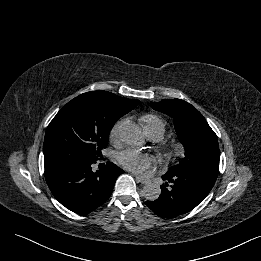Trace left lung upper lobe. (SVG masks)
Returning a JSON list of instances; mask_svg holds the SVG:
<instances>
[{"label": "left lung upper lobe", "mask_w": 261, "mask_h": 261, "mask_svg": "<svg viewBox=\"0 0 261 261\" xmlns=\"http://www.w3.org/2000/svg\"><path fill=\"white\" fill-rule=\"evenodd\" d=\"M152 108L173 117L175 130L185 148V157L167 173L201 169L218 175L220 150L218 138L203 115L181 99H164Z\"/></svg>", "instance_id": "left-lung-upper-lobe-1"}]
</instances>
